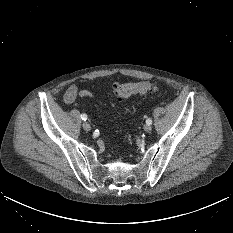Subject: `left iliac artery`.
<instances>
[{"mask_svg": "<svg viewBox=\"0 0 233 233\" xmlns=\"http://www.w3.org/2000/svg\"><path fill=\"white\" fill-rule=\"evenodd\" d=\"M146 123L149 124V125H151V124H152V119H151V118H148V119L146 120Z\"/></svg>", "mask_w": 233, "mask_h": 233, "instance_id": "obj_1", "label": "left iliac artery"}]
</instances>
